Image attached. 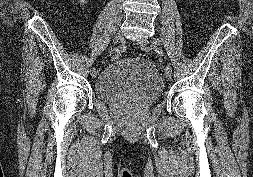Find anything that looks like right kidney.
<instances>
[{
	"label": "right kidney",
	"instance_id": "right-kidney-1",
	"mask_svg": "<svg viewBox=\"0 0 253 177\" xmlns=\"http://www.w3.org/2000/svg\"><path fill=\"white\" fill-rule=\"evenodd\" d=\"M79 1H80V4L84 5L87 0H79Z\"/></svg>",
	"mask_w": 253,
	"mask_h": 177
}]
</instances>
